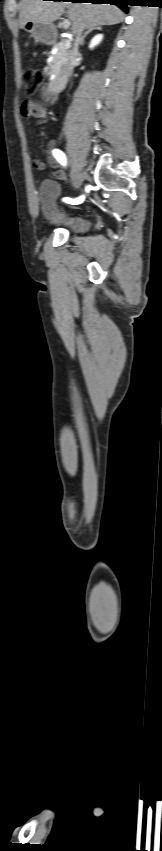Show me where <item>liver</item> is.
<instances>
[{
    "label": "liver",
    "instance_id": "obj_1",
    "mask_svg": "<svg viewBox=\"0 0 162 851\" xmlns=\"http://www.w3.org/2000/svg\"><path fill=\"white\" fill-rule=\"evenodd\" d=\"M19 7L20 28H23L28 21L52 24L64 13L65 8L68 10L73 33L80 25L83 26V29H88L103 25H115L124 20V13L118 7L110 4L22 0Z\"/></svg>",
    "mask_w": 162,
    "mask_h": 851
}]
</instances>
